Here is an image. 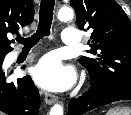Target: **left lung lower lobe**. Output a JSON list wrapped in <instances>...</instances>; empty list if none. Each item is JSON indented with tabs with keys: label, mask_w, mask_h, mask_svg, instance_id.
<instances>
[{
	"label": "left lung lower lobe",
	"mask_w": 131,
	"mask_h": 115,
	"mask_svg": "<svg viewBox=\"0 0 131 115\" xmlns=\"http://www.w3.org/2000/svg\"><path fill=\"white\" fill-rule=\"evenodd\" d=\"M120 100H131L130 87H103L91 82L87 92L77 99H71L67 115H83L97 107Z\"/></svg>",
	"instance_id": "left-lung-lower-lobe-1"
}]
</instances>
